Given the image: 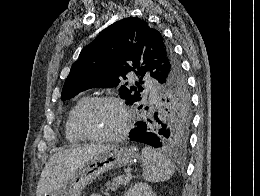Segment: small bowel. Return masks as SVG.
Returning a JSON list of instances; mask_svg holds the SVG:
<instances>
[{
	"mask_svg": "<svg viewBox=\"0 0 260 196\" xmlns=\"http://www.w3.org/2000/svg\"><path fill=\"white\" fill-rule=\"evenodd\" d=\"M91 196H99V194H97V193H94V194H91Z\"/></svg>",
	"mask_w": 260,
	"mask_h": 196,
	"instance_id": "1",
	"label": "small bowel"
}]
</instances>
